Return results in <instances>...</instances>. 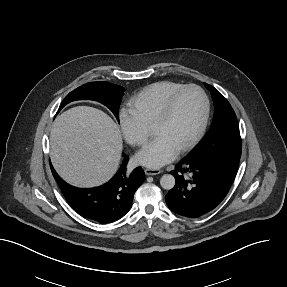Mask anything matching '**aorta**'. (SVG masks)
<instances>
[{
  "mask_svg": "<svg viewBox=\"0 0 287 287\" xmlns=\"http://www.w3.org/2000/svg\"><path fill=\"white\" fill-rule=\"evenodd\" d=\"M160 185L166 190H170L175 186V178L171 174H165L160 179Z\"/></svg>",
  "mask_w": 287,
  "mask_h": 287,
  "instance_id": "762f6f07",
  "label": "aorta"
}]
</instances>
